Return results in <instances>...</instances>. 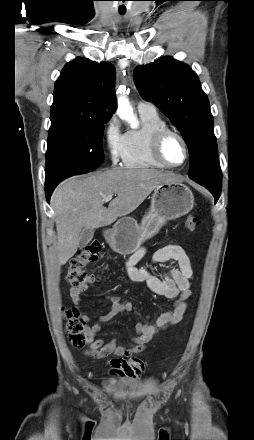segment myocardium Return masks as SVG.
I'll use <instances>...</instances> for the list:
<instances>
[{
  "instance_id": "myocardium-1",
  "label": "myocardium",
  "mask_w": 254,
  "mask_h": 440,
  "mask_svg": "<svg viewBox=\"0 0 254 440\" xmlns=\"http://www.w3.org/2000/svg\"><path fill=\"white\" fill-rule=\"evenodd\" d=\"M169 136L177 137L183 145L185 155H184V160L180 164H172L168 162L163 155V145ZM151 153L153 158L158 163L165 166L166 168H179L183 166L188 160L189 147L186 139L179 131L172 129L170 127H164L154 133L151 142Z\"/></svg>"
}]
</instances>
